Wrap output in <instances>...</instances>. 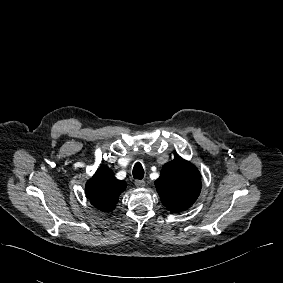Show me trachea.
<instances>
[{"label":"trachea","mask_w":283,"mask_h":283,"mask_svg":"<svg viewBox=\"0 0 283 283\" xmlns=\"http://www.w3.org/2000/svg\"><path fill=\"white\" fill-rule=\"evenodd\" d=\"M133 177L141 180L144 177V170L141 163L137 162L133 167Z\"/></svg>","instance_id":"3493384b"}]
</instances>
